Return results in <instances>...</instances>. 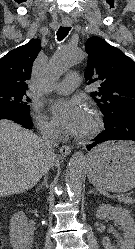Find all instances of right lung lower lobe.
<instances>
[{"instance_id":"obj_1","label":"right lung lower lobe","mask_w":135,"mask_h":249,"mask_svg":"<svg viewBox=\"0 0 135 249\" xmlns=\"http://www.w3.org/2000/svg\"><path fill=\"white\" fill-rule=\"evenodd\" d=\"M0 119L12 120L25 128L32 129V121L29 113L23 112L13 106L0 104Z\"/></svg>"}]
</instances>
